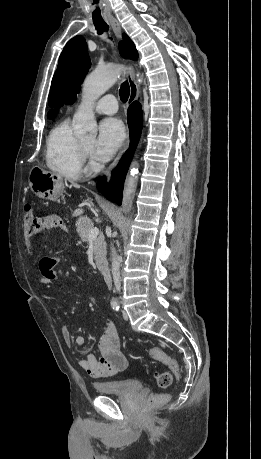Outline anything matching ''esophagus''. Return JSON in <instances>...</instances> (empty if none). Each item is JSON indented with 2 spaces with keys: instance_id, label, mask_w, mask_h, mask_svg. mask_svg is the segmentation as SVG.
<instances>
[{
  "instance_id": "esophagus-1",
  "label": "esophagus",
  "mask_w": 261,
  "mask_h": 459,
  "mask_svg": "<svg viewBox=\"0 0 261 459\" xmlns=\"http://www.w3.org/2000/svg\"><path fill=\"white\" fill-rule=\"evenodd\" d=\"M109 21H110V24L112 26V29H113V31L115 33V36H116L117 40L120 41L122 39V28H121L119 22L115 18H110ZM126 79H127L128 83H129V87H130V94H129V98H128V103L131 104L132 102L137 100L138 96H139V89H138V86L136 84V81H135V78H134V70H133V67L131 65H129V67L127 69ZM128 146H129V138L126 139L122 149L118 153V155L115 158V160L113 161V163L106 169L104 175L107 177V179L110 178L112 169L117 165V163L119 162V160L122 157V155L126 152Z\"/></svg>"
}]
</instances>
